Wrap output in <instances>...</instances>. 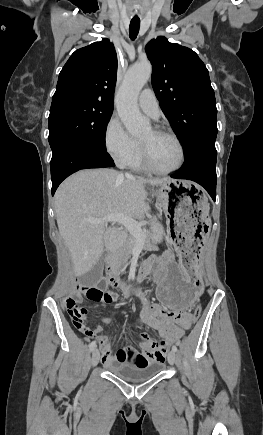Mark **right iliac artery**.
Here are the masks:
<instances>
[{
    "mask_svg": "<svg viewBox=\"0 0 263 435\" xmlns=\"http://www.w3.org/2000/svg\"><path fill=\"white\" fill-rule=\"evenodd\" d=\"M90 351H93L96 348V342L92 341L89 345Z\"/></svg>",
    "mask_w": 263,
    "mask_h": 435,
    "instance_id": "82829eb1",
    "label": "right iliac artery"
}]
</instances>
